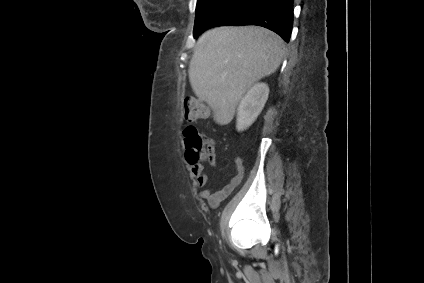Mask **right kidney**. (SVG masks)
I'll use <instances>...</instances> for the list:
<instances>
[{
    "label": "right kidney",
    "instance_id": "right-kidney-1",
    "mask_svg": "<svg viewBox=\"0 0 424 283\" xmlns=\"http://www.w3.org/2000/svg\"><path fill=\"white\" fill-rule=\"evenodd\" d=\"M269 87L265 83L254 84L241 99L237 109V130L243 131L252 125L268 99Z\"/></svg>",
    "mask_w": 424,
    "mask_h": 283
}]
</instances>
